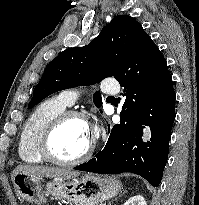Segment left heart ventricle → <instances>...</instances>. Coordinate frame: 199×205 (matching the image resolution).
Segmentation results:
<instances>
[{
    "label": "left heart ventricle",
    "instance_id": "1",
    "mask_svg": "<svg viewBox=\"0 0 199 205\" xmlns=\"http://www.w3.org/2000/svg\"><path fill=\"white\" fill-rule=\"evenodd\" d=\"M91 139V131L86 123L72 118L56 130L52 140L53 151L60 158L71 159L80 155Z\"/></svg>",
    "mask_w": 199,
    "mask_h": 205
}]
</instances>
